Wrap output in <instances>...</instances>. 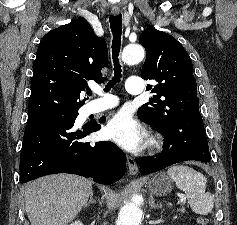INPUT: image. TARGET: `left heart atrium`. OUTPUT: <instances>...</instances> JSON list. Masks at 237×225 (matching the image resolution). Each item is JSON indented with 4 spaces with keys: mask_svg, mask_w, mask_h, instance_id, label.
Here are the masks:
<instances>
[{
    "mask_svg": "<svg viewBox=\"0 0 237 225\" xmlns=\"http://www.w3.org/2000/svg\"><path fill=\"white\" fill-rule=\"evenodd\" d=\"M104 132L108 139L130 151L140 149L145 141L143 128L127 111H120L114 115Z\"/></svg>",
    "mask_w": 237,
    "mask_h": 225,
    "instance_id": "39dd6f15",
    "label": "left heart atrium"
}]
</instances>
